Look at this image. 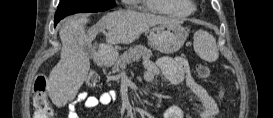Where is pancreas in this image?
I'll return each mask as SVG.
<instances>
[{"instance_id":"pancreas-1","label":"pancreas","mask_w":273,"mask_h":118,"mask_svg":"<svg viewBox=\"0 0 273 118\" xmlns=\"http://www.w3.org/2000/svg\"><path fill=\"white\" fill-rule=\"evenodd\" d=\"M152 56V51L143 45H135L130 47L126 52L120 55L112 68V72H119L122 68H125L127 64L143 58L149 59Z\"/></svg>"}]
</instances>
